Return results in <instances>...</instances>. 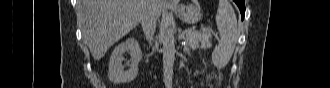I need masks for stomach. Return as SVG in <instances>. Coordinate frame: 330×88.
<instances>
[{"instance_id":"obj_1","label":"stomach","mask_w":330,"mask_h":88,"mask_svg":"<svg viewBox=\"0 0 330 88\" xmlns=\"http://www.w3.org/2000/svg\"><path fill=\"white\" fill-rule=\"evenodd\" d=\"M172 10L180 20L188 24H195L200 21L202 17L200 6L196 2L189 5L180 4Z\"/></svg>"}]
</instances>
